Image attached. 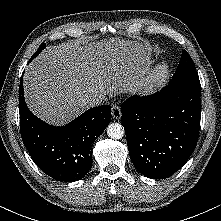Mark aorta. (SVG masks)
I'll return each mask as SVG.
<instances>
[{
  "mask_svg": "<svg viewBox=\"0 0 221 221\" xmlns=\"http://www.w3.org/2000/svg\"><path fill=\"white\" fill-rule=\"evenodd\" d=\"M107 135L114 140L121 139L124 136V128L119 123H111L107 127Z\"/></svg>",
  "mask_w": 221,
  "mask_h": 221,
  "instance_id": "aorta-1",
  "label": "aorta"
}]
</instances>
